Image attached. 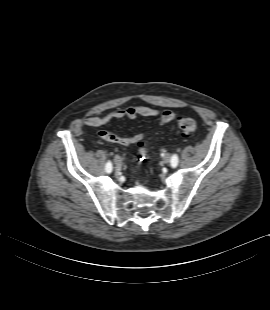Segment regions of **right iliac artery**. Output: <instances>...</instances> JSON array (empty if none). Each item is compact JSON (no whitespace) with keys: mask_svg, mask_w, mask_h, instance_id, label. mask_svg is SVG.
Instances as JSON below:
<instances>
[{"mask_svg":"<svg viewBox=\"0 0 270 310\" xmlns=\"http://www.w3.org/2000/svg\"><path fill=\"white\" fill-rule=\"evenodd\" d=\"M112 169H113L112 163H111V161H108V162L106 163L105 170H106L107 173H111V172H112Z\"/></svg>","mask_w":270,"mask_h":310,"instance_id":"right-iliac-artery-1","label":"right iliac artery"}]
</instances>
